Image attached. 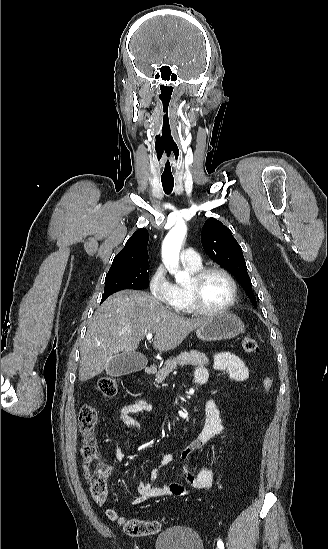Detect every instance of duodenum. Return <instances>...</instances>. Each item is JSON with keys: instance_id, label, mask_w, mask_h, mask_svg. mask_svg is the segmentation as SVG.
I'll use <instances>...</instances> for the list:
<instances>
[{"instance_id": "1", "label": "duodenum", "mask_w": 328, "mask_h": 549, "mask_svg": "<svg viewBox=\"0 0 328 549\" xmlns=\"http://www.w3.org/2000/svg\"><path fill=\"white\" fill-rule=\"evenodd\" d=\"M144 370H145V373H146V374L150 375V374L155 373L156 368H155V366H153V365H148V366L145 367ZM195 380H196V383H197V384H203V383L205 382V379H204V378H196Z\"/></svg>"}]
</instances>
